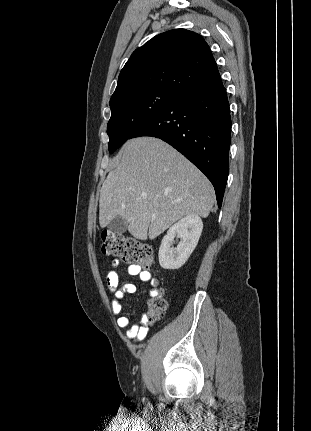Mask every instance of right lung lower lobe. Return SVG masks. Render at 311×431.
<instances>
[{"label": "right lung lower lobe", "instance_id": "obj_1", "mask_svg": "<svg viewBox=\"0 0 311 431\" xmlns=\"http://www.w3.org/2000/svg\"><path fill=\"white\" fill-rule=\"evenodd\" d=\"M230 130L229 102L219 76L181 93L129 139L152 136L172 145L208 177L220 208L229 173Z\"/></svg>", "mask_w": 311, "mask_h": 431}]
</instances>
